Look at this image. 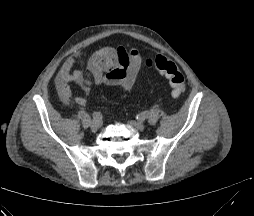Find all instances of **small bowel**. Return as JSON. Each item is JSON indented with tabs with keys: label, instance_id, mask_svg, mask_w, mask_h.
<instances>
[{
	"label": "small bowel",
	"instance_id": "1",
	"mask_svg": "<svg viewBox=\"0 0 254 216\" xmlns=\"http://www.w3.org/2000/svg\"><path fill=\"white\" fill-rule=\"evenodd\" d=\"M75 59L68 58L62 64L56 76V89L61 101L65 104L75 102L84 106L87 98L74 94L69 82H76L85 86L89 95L93 85L116 86L122 93L129 92L141 69L142 58L137 48L103 47L97 50L88 60L87 68L93 77L85 80L81 70H74Z\"/></svg>",
	"mask_w": 254,
	"mask_h": 216
}]
</instances>
